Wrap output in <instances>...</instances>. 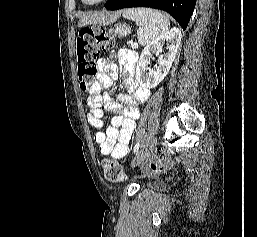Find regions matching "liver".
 I'll list each match as a JSON object with an SVG mask.
<instances>
[{"mask_svg": "<svg viewBox=\"0 0 257 237\" xmlns=\"http://www.w3.org/2000/svg\"><path fill=\"white\" fill-rule=\"evenodd\" d=\"M121 15V12H116L114 14H102V13H95L90 16H86L82 18L78 25L82 26L88 23H103V24H108L116 21L119 16Z\"/></svg>", "mask_w": 257, "mask_h": 237, "instance_id": "6515ba94", "label": "liver"}]
</instances>
